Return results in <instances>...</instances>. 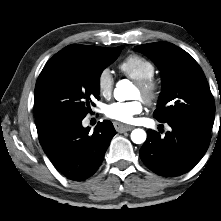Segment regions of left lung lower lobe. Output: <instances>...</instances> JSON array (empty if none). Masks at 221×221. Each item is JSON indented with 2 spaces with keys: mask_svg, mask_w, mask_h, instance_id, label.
<instances>
[{
  "mask_svg": "<svg viewBox=\"0 0 221 221\" xmlns=\"http://www.w3.org/2000/svg\"><path fill=\"white\" fill-rule=\"evenodd\" d=\"M172 131L165 137L154 130L140 149L147 168L162 176H179L190 171L204 156L210 143V131L188 120L167 122Z\"/></svg>",
  "mask_w": 221,
  "mask_h": 221,
  "instance_id": "0a47b994",
  "label": "left lung lower lobe"
}]
</instances>
